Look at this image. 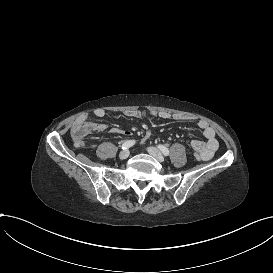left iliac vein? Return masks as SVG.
I'll use <instances>...</instances> for the list:
<instances>
[{"instance_id": "obj_1", "label": "left iliac vein", "mask_w": 273, "mask_h": 273, "mask_svg": "<svg viewBox=\"0 0 273 273\" xmlns=\"http://www.w3.org/2000/svg\"><path fill=\"white\" fill-rule=\"evenodd\" d=\"M149 154L154 156L159 162H163L164 158L162 153L155 147H149L148 148Z\"/></svg>"}]
</instances>
